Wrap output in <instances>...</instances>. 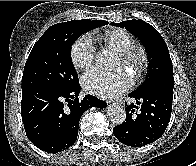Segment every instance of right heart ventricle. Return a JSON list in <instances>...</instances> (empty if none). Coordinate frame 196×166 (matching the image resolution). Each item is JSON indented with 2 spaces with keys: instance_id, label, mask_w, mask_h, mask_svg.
Instances as JSON below:
<instances>
[{
  "instance_id": "right-heart-ventricle-1",
  "label": "right heart ventricle",
  "mask_w": 196,
  "mask_h": 166,
  "mask_svg": "<svg viewBox=\"0 0 196 166\" xmlns=\"http://www.w3.org/2000/svg\"><path fill=\"white\" fill-rule=\"evenodd\" d=\"M99 38L118 53L125 52L134 45L132 36L122 29L107 30Z\"/></svg>"
}]
</instances>
